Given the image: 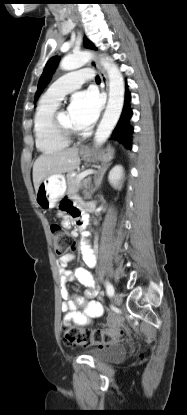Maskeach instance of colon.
<instances>
[{"instance_id":"5ec220e1","label":"colon","mask_w":187,"mask_h":415,"mask_svg":"<svg viewBox=\"0 0 187 415\" xmlns=\"http://www.w3.org/2000/svg\"><path fill=\"white\" fill-rule=\"evenodd\" d=\"M56 255L63 256L74 246L73 238L57 223L51 225ZM124 337L122 330H89L70 328L65 332V342L68 345L107 344Z\"/></svg>"}]
</instances>
